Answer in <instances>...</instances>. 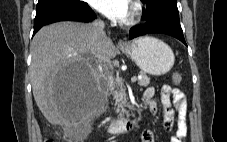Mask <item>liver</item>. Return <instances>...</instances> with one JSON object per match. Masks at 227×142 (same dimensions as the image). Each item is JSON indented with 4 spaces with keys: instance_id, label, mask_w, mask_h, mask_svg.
<instances>
[{
    "instance_id": "1",
    "label": "liver",
    "mask_w": 227,
    "mask_h": 142,
    "mask_svg": "<svg viewBox=\"0 0 227 142\" xmlns=\"http://www.w3.org/2000/svg\"><path fill=\"white\" fill-rule=\"evenodd\" d=\"M30 51V75L34 99L44 117L54 125H68L79 118V102L90 81L99 88L102 73L117 54L107 36L100 41L92 37L90 24L59 22L45 26L34 36ZM90 56L102 68L96 73ZM75 65L81 78H55L63 68Z\"/></svg>"
}]
</instances>
